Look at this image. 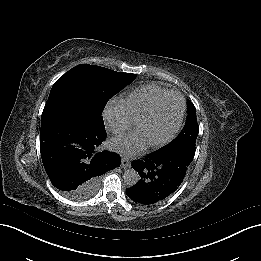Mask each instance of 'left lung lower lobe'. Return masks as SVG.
I'll return each mask as SVG.
<instances>
[{"mask_svg":"<svg viewBox=\"0 0 261 261\" xmlns=\"http://www.w3.org/2000/svg\"><path fill=\"white\" fill-rule=\"evenodd\" d=\"M194 154L184 149L164 150L145 156L132 164L141 179L126 189L133 201L152 205L167 199L182 183Z\"/></svg>","mask_w":261,"mask_h":261,"instance_id":"0a47b994","label":"left lung lower lobe"}]
</instances>
